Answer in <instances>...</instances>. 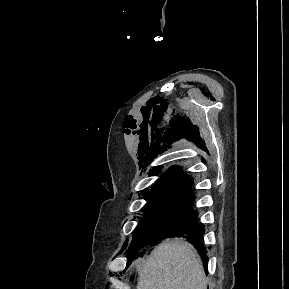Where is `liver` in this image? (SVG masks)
Listing matches in <instances>:
<instances>
[{
	"instance_id": "1",
	"label": "liver",
	"mask_w": 289,
	"mask_h": 289,
	"mask_svg": "<svg viewBox=\"0 0 289 289\" xmlns=\"http://www.w3.org/2000/svg\"><path fill=\"white\" fill-rule=\"evenodd\" d=\"M137 289H206L202 261L185 239L166 240L138 259Z\"/></svg>"
}]
</instances>
